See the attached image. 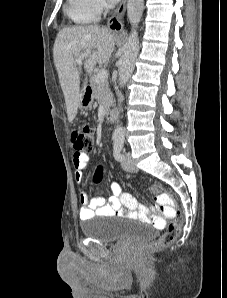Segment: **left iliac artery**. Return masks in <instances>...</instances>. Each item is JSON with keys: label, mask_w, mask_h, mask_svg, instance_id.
I'll return each instance as SVG.
<instances>
[{"label": "left iliac artery", "mask_w": 227, "mask_h": 298, "mask_svg": "<svg viewBox=\"0 0 227 298\" xmlns=\"http://www.w3.org/2000/svg\"><path fill=\"white\" fill-rule=\"evenodd\" d=\"M123 145H124L123 138L115 139L114 147H113V154H114V158L117 161H122L124 159V156L122 154Z\"/></svg>", "instance_id": "44dca946"}]
</instances>
